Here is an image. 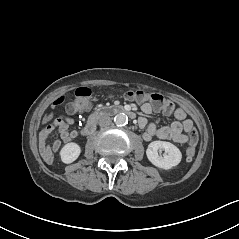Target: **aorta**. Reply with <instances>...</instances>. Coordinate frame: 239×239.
<instances>
[{"mask_svg":"<svg viewBox=\"0 0 239 239\" xmlns=\"http://www.w3.org/2000/svg\"><path fill=\"white\" fill-rule=\"evenodd\" d=\"M114 122L117 126H125L128 123V116L125 113H118L114 117Z\"/></svg>","mask_w":239,"mask_h":239,"instance_id":"1","label":"aorta"}]
</instances>
